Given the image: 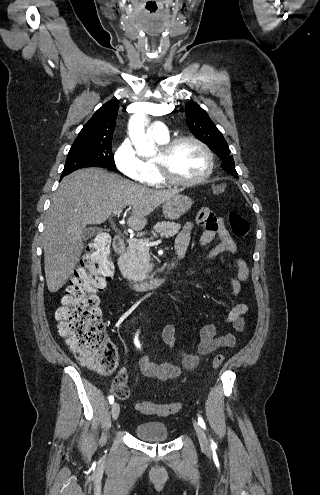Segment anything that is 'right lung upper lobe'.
Wrapping results in <instances>:
<instances>
[{
	"label": "right lung upper lobe",
	"instance_id": "right-lung-upper-lobe-1",
	"mask_svg": "<svg viewBox=\"0 0 320 495\" xmlns=\"http://www.w3.org/2000/svg\"><path fill=\"white\" fill-rule=\"evenodd\" d=\"M118 105V100L112 99L100 107L84 125L73 144L112 143Z\"/></svg>",
	"mask_w": 320,
	"mask_h": 495
}]
</instances>
